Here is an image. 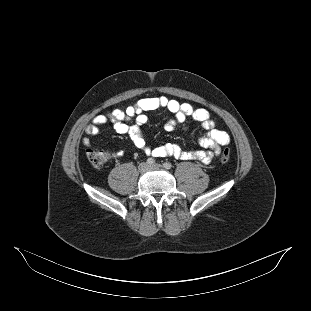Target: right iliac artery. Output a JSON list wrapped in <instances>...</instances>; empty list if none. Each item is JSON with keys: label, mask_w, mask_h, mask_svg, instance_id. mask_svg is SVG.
<instances>
[{"label": "right iliac artery", "mask_w": 311, "mask_h": 311, "mask_svg": "<svg viewBox=\"0 0 311 311\" xmlns=\"http://www.w3.org/2000/svg\"><path fill=\"white\" fill-rule=\"evenodd\" d=\"M155 163V160L153 158H148L147 159V164L153 165Z\"/></svg>", "instance_id": "1"}]
</instances>
